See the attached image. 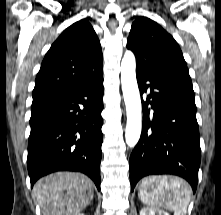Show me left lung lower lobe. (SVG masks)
Here are the masks:
<instances>
[{"instance_id":"0a47b994","label":"left lung lower lobe","mask_w":221,"mask_h":215,"mask_svg":"<svg viewBox=\"0 0 221 215\" xmlns=\"http://www.w3.org/2000/svg\"><path fill=\"white\" fill-rule=\"evenodd\" d=\"M143 101V126L130 157V183L150 174L185 178L196 191L201 150L194 91L178 78L136 69ZM151 108H148V105Z\"/></svg>"}]
</instances>
